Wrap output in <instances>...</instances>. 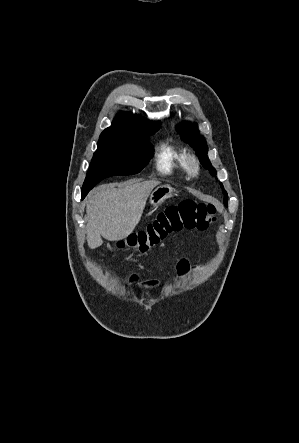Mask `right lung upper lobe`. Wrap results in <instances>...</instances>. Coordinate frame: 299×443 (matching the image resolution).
Returning <instances> with one entry per match:
<instances>
[{
  "label": "right lung upper lobe",
  "mask_w": 299,
  "mask_h": 443,
  "mask_svg": "<svg viewBox=\"0 0 299 443\" xmlns=\"http://www.w3.org/2000/svg\"><path fill=\"white\" fill-rule=\"evenodd\" d=\"M158 125L159 123H150L138 115L123 112L116 116L112 125L102 132L100 138L118 134L138 133L143 128Z\"/></svg>",
  "instance_id": "right-lung-upper-lobe-1"
}]
</instances>
